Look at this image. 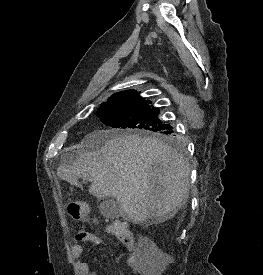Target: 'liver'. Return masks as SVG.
<instances>
[{"mask_svg": "<svg viewBox=\"0 0 263 275\" xmlns=\"http://www.w3.org/2000/svg\"><path fill=\"white\" fill-rule=\"evenodd\" d=\"M81 148L71 165L58 167V177L77 187L80 178L90 181L89 193L114 197L129 221L164 222L188 197V162L154 136L96 130L83 139Z\"/></svg>", "mask_w": 263, "mask_h": 275, "instance_id": "1", "label": "liver"}]
</instances>
